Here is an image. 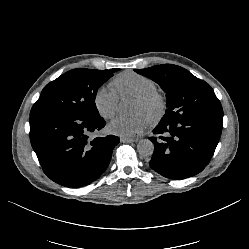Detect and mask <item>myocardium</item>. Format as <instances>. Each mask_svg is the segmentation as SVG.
Here are the masks:
<instances>
[{"instance_id": "myocardium-1", "label": "myocardium", "mask_w": 249, "mask_h": 249, "mask_svg": "<svg viewBox=\"0 0 249 249\" xmlns=\"http://www.w3.org/2000/svg\"><path fill=\"white\" fill-rule=\"evenodd\" d=\"M136 100L149 110L147 120L150 125L157 126L165 117L168 109L166 97L157 90L136 96Z\"/></svg>"}]
</instances>
